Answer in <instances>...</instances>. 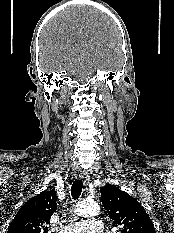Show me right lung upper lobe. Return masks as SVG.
<instances>
[{
	"instance_id": "obj_1",
	"label": "right lung upper lobe",
	"mask_w": 174,
	"mask_h": 233,
	"mask_svg": "<svg viewBox=\"0 0 174 233\" xmlns=\"http://www.w3.org/2000/svg\"><path fill=\"white\" fill-rule=\"evenodd\" d=\"M56 201L54 189L32 197L21 206L7 233H47V224L57 208Z\"/></svg>"
}]
</instances>
